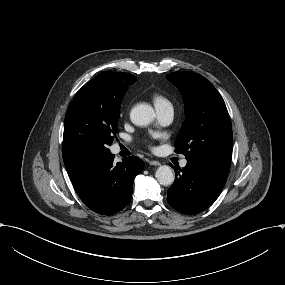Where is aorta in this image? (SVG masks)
Listing matches in <instances>:
<instances>
[{
  "label": "aorta",
  "mask_w": 285,
  "mask_h": 285,
  "mask_svg": "<svg viewBox=\"0 0 285 285\" xmlns=\"http://www.w3.org/2000/svg\"><path fill=\"white\" fill-rule=\"evenodd\" d=\"M155 117L154 110L147 104H140L135 106L130 113V119L133 124L137 126L149 125ZM158 182L161 185L168 186L174 182L175 175L171 167L167 165L160 166L155 174Z\"/></svg>",
  "instance_id": "1"
}]
</instances>
